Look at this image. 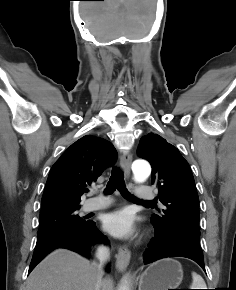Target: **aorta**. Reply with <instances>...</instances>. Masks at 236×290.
<instances>
[{
  "label": "aorta",
  "instance_id": "aorta-1",
  "mask_svg": "<svg viewBox=\"0 0 236 290\" xmlns=\"http://www.w3.org/2000/svg\"><path fill=\"white\" fill-rule=\"evenodd\" d=\"M134 180L138 183L144 182L151 173L150 165L145 161H136L132 166ZM119 290H130L127 282L125 281Z\"/></svg>",
  "mask_w": 236,
  "mask_h": 290
}]
</instances>
